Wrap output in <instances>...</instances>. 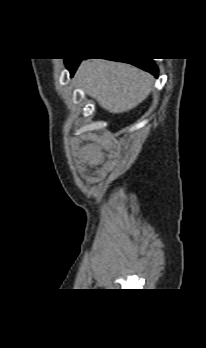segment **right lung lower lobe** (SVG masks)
<instances>
[{
    "instance_id": "98d812e1",
    "label": "right lung lower lobe",
    "mask_w": 206,
    "mask_h": 348,
    "mask_svg": "<svg viewBox=\"0 0 206 348\" xmlns=\"http://www.w3.org/2000/svg\"><path fill=\"white\" fill-rule=\"evenodd\" d=\"M82 59H65L67 68L70 70L71 76L74 74L77 66ZM116 61L127 62L133 64L145 71L150 72L155 77H158V68L151 58H134V59H111Z\"/></svg>"
}]
</instances>
